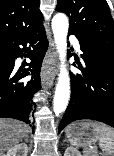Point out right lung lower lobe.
I'll use <instances>...</instances> for the list:
<instances>
[{
    "label": "right lung lower lobe",
    "instance_id": "98d812e1",
    "mask_svg": "<svg viewBox=\"0 0 114 156\" xmlns=\"http://www.w3.org/2000/svg\"><path fill=\"white\" fill-rule=\"evenodd\" d=\"M7 58L0 61V117H10L31 123L33 95L39 90L40 69L48 48L44 26L41 24L0 42ZM28 54V68L14 69L15 60ZM32 75L29 81L21 79ZM34 129V127H33Z\"/></svg>",
    "mask_w": 114,
    "mask_h": 156
}]
</instances>
